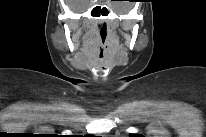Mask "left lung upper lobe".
<instances>
[{
  "label": "left lung upper lobe",
  "instance_id": "1",
  "mask_svg": "<svg viewBox=\"0 0 206 137\" xmlns=\"http://www.w3.org/2000/svg\"><path fill=\"white\" fill-rule=\"evenodd\" d=\"M132 137L136 136V134H130Z\"/></svg>",
  "mask_w": 206,
  "mask_h": 137
}]
</instances>
